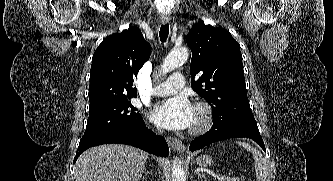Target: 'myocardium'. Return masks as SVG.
Returning a JSON list of instances; mask_svg holds the SVG:
<instances>
[{
    "instance_id": "myocardium-1",
    "label": "myocardium",
    "mask_w": 333,
    "mask_h": 181,
    "mask_svg": "<svg viewBox=\"0 0 333 181\" xmlns=\"http://www.w3.org/2000/svg\"><path fill=\"white\" fill-rule=\"evenodd\" d=\"M197 120L192 125L190 132L199 134L207 131L213 123V110L207 102H198L195 105Z\"/></svg>"
}]
</instances>
